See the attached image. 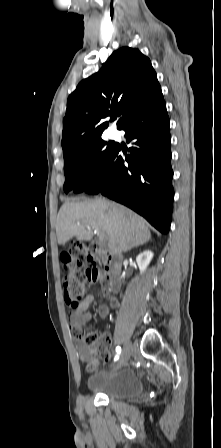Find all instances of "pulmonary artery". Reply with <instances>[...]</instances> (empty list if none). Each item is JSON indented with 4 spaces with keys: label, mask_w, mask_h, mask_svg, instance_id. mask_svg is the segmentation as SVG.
Listing matches in <instances>:
<instances>
[{
    "label": "pulmonary artery",
    "mask_w": 221,
    "mask_h": 448,
    "mask_svg": "<svg viewBox=\"0 0 221 448\" xmlns=\"http://www.w3.org/2000/svg\"><path fill=\"white\" fill-rule=\"evenodd\" d=\"M109 135H110L111 138H115L117 136L116 132L114 130H111Z\"/></svg>",
    "instance_id": "pulmonary-artery-1"
}]
</instances>
